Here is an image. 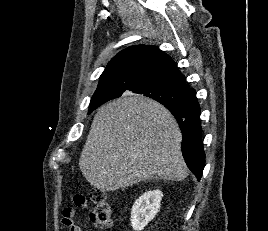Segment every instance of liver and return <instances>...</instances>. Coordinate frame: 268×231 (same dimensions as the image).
Instances as JSON below:
<instances>
[{"label": "liver", "mask_w": 268, "mask_h": 231, "mask_svg": "<svg viewBox=\"0 0 268 231\" xmlns=\"http://www.w3.org/2000/svg\"><path fill=\"white\" fill-rule=\"evenodd\" d=\"M181 141L180 128L168 109L150 98L126 93L99 108L79 167L102 192L151 179L182 181L187 169Z\"/></svg>", "instance_id": "6515ba94"}]
</instances>
